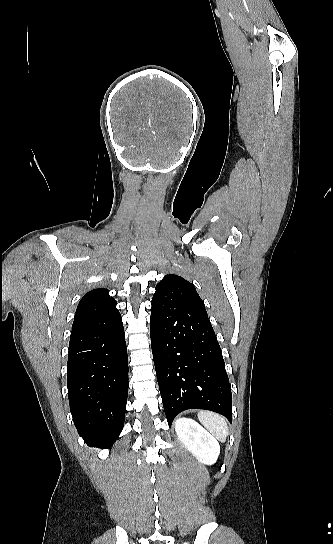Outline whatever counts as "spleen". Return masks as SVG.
Masks as SVG:
<instances>
[{
  "label": "spleen",
  "instance_id": "spleen-1",
  "mask_svg": "<svg viewBox=\"0 0 333 544\" xmlns=\"http://www.w3.org/2000/svg\"><path fill=\"white\" fill-rule=\"evenodd\" d=\"M198 420L207 428L219 441L225 442L228 435L226 419L219 414L210 411H200Z\"/></svg>",
  "mask_w": 333,
  "mask_h": 544
}]
</instances>
